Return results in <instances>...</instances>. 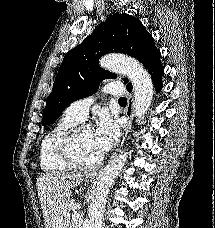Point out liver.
Masks as SVG:
<instances>
[{"mask_svg": "<svg viewBox=\"0 0 215 228\" xmlns=\"http://www.w3.org/2000/svg\"><path fill=\"white\" fill-rule=\"evenodd\" d=\"M82 174H41L37 194L45 228H69L71 188L83 182Z\"/></svg>", "mask_w": 215, "mask_h": 228, "instance_id": "1", "label": "liver"}]
</instances>
